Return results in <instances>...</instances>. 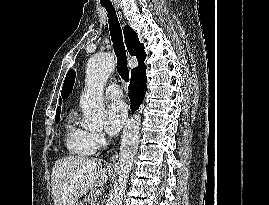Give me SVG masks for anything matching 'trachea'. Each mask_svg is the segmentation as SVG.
I'll use <instances>...</instances> for the list:
<instances>
[{
    "mask_svg": "<svg viewBox=\"0 0 269 205\" xmlns=\"http://www.w3.org/2000/svg\"><path fill=\"white\" fill-rule=\"evenodd\" d=\"M108 13L109 30L115 55L117 57V71L121 78L129 81V70L127 66L126 51L123 42L121 27L113 6L103 5Z\"/></svg>",
    "mask_w": 269,
    "mask_h": 205,
    "instance_id": "trachea-1",
    "label": "trachea"
}]
</instances>
